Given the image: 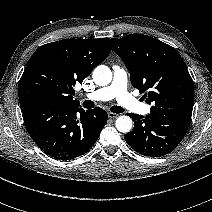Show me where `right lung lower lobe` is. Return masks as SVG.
I'll use <instances>...</instances> for the list:
<instances>
[{
  "instance_id": "right-lung-lower-lobe-1",
  "label": "right lung lower lobe",
  "mask_w": 212,
  "mask_h": 212,
  "mask_svg": "<svg viewBox=\"0 0 212 212\" xmlns=\"http://www.w3.org/2000/svg\"><path fill=\"white\" fill-rule=\"evenodd\" d=\"M107 113L97 107L46 104L23 112L26 128L48 156L71 160L87 153L107 122Z\"/></svg>"
}]
</instances>
